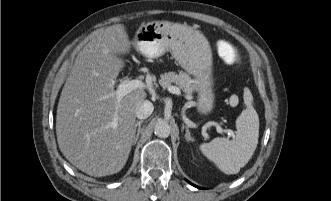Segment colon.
<instances>
[{"label": "colon", "instance_id": "5ec220e1", "mask_svg": "<svg viewBox=\"0 0 331 201\" xmlns=\"http://www.w3.org/2000/svg\"><path fill=\"white\" fill-rule=\"evenodd\" d=\"M218 53L227 64L233 65L239 62L240 58L238 49L230 42H220L218 45Z\"/></svg>", "mask_w": 331, "mask_h": 201}]
</instances>
